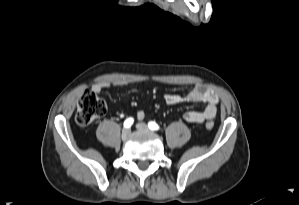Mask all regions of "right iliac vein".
Instances as JSON below:
<instances>
[{
    "label": "right iliac vein",
    "mask_w": 299,
    "mask_h": 205,
    "mask_svg": "<svg viewBox=\"0 0 299 205\" xmlns=\"http://www.w3.org/2000/svg\"><path fill=\"white\" fill-rule=\"evenodd\" d=\"M130 134H131V131L129 129L124 130L122 133V140L123 141L127 140L129 138Z\"/></svg>",
    "instance_id": "1"
}]
</instances>
